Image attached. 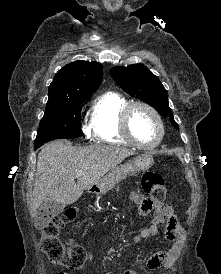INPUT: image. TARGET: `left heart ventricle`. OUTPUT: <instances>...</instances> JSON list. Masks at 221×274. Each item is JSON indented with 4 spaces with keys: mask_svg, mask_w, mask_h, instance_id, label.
<instances>
[{
    "mask_svg": "<svg viewBox=\"0 0 221 274\" xmlns=\"http://www.w3.org/2000/svg\"><path fill=\"white\" fill-rule=\"evenodd\" d=\"M130 127L134 137L143 144H153L159 136V127L154 116L144 108L133 110Z\"/></svg>",
    "mask_w": 221,
    "mask_h": 274,
    "instance_id": "b2bd125f",
    "label": "left heart ventricle"
}]
</instances>
